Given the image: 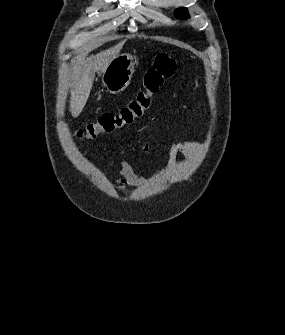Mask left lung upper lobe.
Wrapping results in <instances>:
<instances>
[{"mask_svg": "<svg viewBox=\"0 0 285 335\" xmlns=\"http://www.w3.org/2000/svg\"><path fill=\"white\" fill-rule=\"evenodd\" d=\"M175 16L178 18H189L188 12L186 8H179L175 12Z\"/></svg>", "mask_w": 285, "mask_h": 335, "instance_id": "5c2ea615", "label": "left lung upper lobe"}]
</instances>
